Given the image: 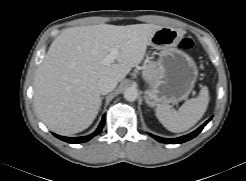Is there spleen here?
Returning a JSON list of instances; mask_svg holds the SVG:
<instances>
[{"label": "spleen", "mask_w": 246, "mask_h": 181, "mask_svg": "<svg viewBox=\"0 0 246 181\" xmlns=\"http://www.w3.org/2000/svg\"><path fill=\"white\" fill-rule=\"evenodd\" d=\"M209 104V91L202 87L199 96L189 99L178 111L171 109L168 104L156 108V116L161 124L171 132H184L193 127L204 115Z\"/></svg>", "instance_id": "obj_1"}]
</instances>
